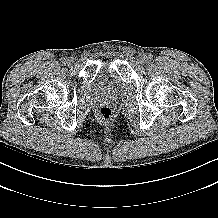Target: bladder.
I'll list each match as a JSON object with an SVG mask.
<instances>
[{
    "label": "bladder",
    "mask_w": 218,
    "mask_h": 218,
    "mask_svg": "<svg viewBox=\"0 0 218 218\" xmlns=\"http://www.w3.org/2000/svg\"><path fill=\"white\" fill-rule=\"evenodd\" d=\"M98 80L101 83H112L113 85L121 88L123 86L122 81L118 75L109 68V66H103L98 73Z\"/></svg>",
    "instance_id": "bladder-1"
}]
</instances>
